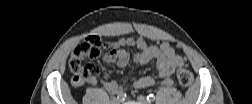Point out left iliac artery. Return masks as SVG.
<instances>
[{
	"instance_id": "44dca946",
	"label": "left iliac artery",
	"mask_w": 252,
	"mask_h": 104,
	"mask_svg": "<svg viewBox=\"0 0 252 104\" xmlns=\"http://www.w3.org/2000/svg\"><path fill=\"white\" fill-rule=\"evenodd\" d=\"M155 100V96L153 95V94H149L148 96H147V101L150 103V102H152V101H154Z\"/></svg>"
}]
</instances>
